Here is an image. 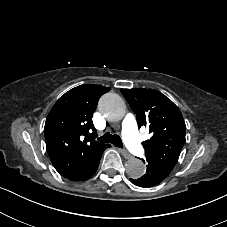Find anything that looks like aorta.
<instances>
[{"label":"aorta","instance_id":"762f6f07","mask_svg":"<svg viewBox=\"0 0 227 227\" xmlns=\"http://www.w3.org/2000/svg\"><path fill=\"white\" fill-rule=\"evenodd\" d=\"M98 108L103 116L110 121L120 120L126 113L124 100L115 93L103 95ZM145 171V165L140 159L132 158L126 163V173L131 178H140L145 174Z\"/></svg>","mask_w":227,"mask_h":227}]
</instances>
